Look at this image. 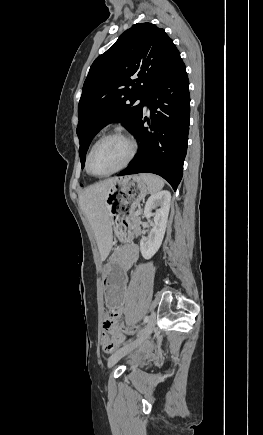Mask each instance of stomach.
Returning a JSON list of instances; mask_svg holds the SVG:
<instances>
[{
	"mask_svg": "<svg viewBox=\"0 0 263 435\" xmlns=\"http://www.w3.org/2000/svg\"><path fill=\"white\" fill-rule=\"evenodd\" d=\"M148 192L146 183L140 176H126L116 180L107 190L105 205L111 223L118 219H130L131 210L145 197ZM113 233H120L126 237L132 233V224H113ZM129 264L122 258H108L104 266L103 310H118L119 305H124V299L129 298L126 290Z\"/></svg>",
	"mask_w": 263,
	"mask_h": 435,
	"instance_id": "0dacf381",
	"label": "stomach"
}]
</instances>
